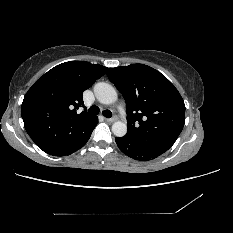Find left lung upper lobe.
Wrapping results in <instances>:
<instances>
[{"instance_id": "5c2ea615", "label": "left lung upper lobe", "mask_w": 233, "mask_h": 233, "mask_svg": "<svg viewBox=\"0 0 233 233\" xmlns=\"http://www.w3.org/2000/svg\"><path fill=\"white\" fill-rule=\"evenodd\" d=\"M107 76L126 101L125 137L161 153L170 149L185 123V104L175 86L144 64L108 68Z\"/></svg>"}]
</instances>
